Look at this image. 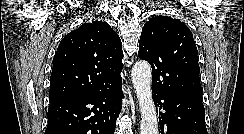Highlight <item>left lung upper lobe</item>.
<instances>
[{"instance_id": "5c2ea615", "label": "left lung upper lobe", "mask_w": 244, "mask_h": 134, "mask_svg": "<svg viewBox=\"0 0 244 134\" xmlns=\"http://www.w3.org/2000/svg\"><path fill=\"white\" fill-rule=\"evenodd\" d=\"M138 56L152 67V89L202 99L197 47L190 29L168 16L142 28Z\"/></svg>"}]
</instances>
